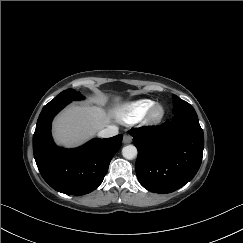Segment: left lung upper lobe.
I'll return each mask as SVG.
<instances>
[{
    "label": "left lung upper lobe",
    "mask_w": 243,
    "mask_h": 243,
    "mask_svg": "<svg viewBox=\"0 0 243 243\" xmlns=\"http://www.w3.org/2000/svg\"><path fill=\"white\" fill-rule=\"evenodd\" d=\"M173 99V115L174 116H186L191 118H198L194 108L186 101L180 99L176 95H172Z\"/></svg>",
    "instance_id": "1"
}]
</instances>
